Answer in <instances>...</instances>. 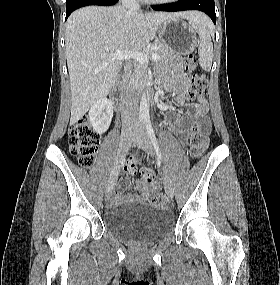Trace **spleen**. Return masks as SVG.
Masks as SVG:
<instances>
[{
  "label": "spleen",
  "mask_w": 280,
  "mask_h": 285,
  "mask_svg": "<svg viewBox=\"0 0 280 285\" xmlns=\"http://www.w3.org/2000/svg\"><path fill=\"white\" fill-rule=\"evenodd\" d=\"M191 24L200 38L198 48L199 64L205 71H209L213 60V44L210 36L213 31V25L206 16L191 21Z\"/></svg>",
  "instance_id": "spleen-1"
}]
</instances>
